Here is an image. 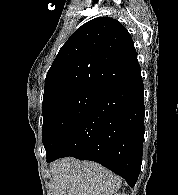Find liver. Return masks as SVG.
<instances>
[{
  "instance_id": "6515ba94",
  "label": "liver",
  "mask_w": 178,
  "mask_h": 195,
  "mask_svg": "<svg viewBox=\"0 0 178 195\" xmlns=\"http://www.w3.org/2000/svg\"><path fill=\"white\" fill-rule=\"evenodd\" d=\"M50 171L54 195H115L121 179L98 163L63 158L54 162Z\"/></svg>"
}]
</instances>
